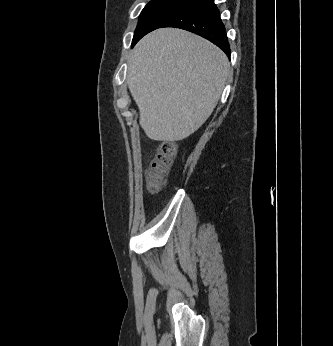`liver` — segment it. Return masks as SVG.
<instances>
[{"label": "liver", "mask_w": 333, "mask_h": 346, "mask_svg": "<svg viewBox=\"0 0 333 346\" xmlns=\"http://www.w3.org/2000/svg\"><path fill=\"white\" fill-rule=\"evenodd\" d=\"M229 70L221 49L188 31L161 28L143 37L127 79L146 135L174 142L193 134L216 107Z\"/></svg>", "instance_id": "1"}]
</instances>
